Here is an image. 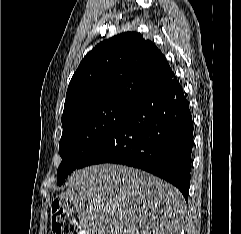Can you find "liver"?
<instances>
[{
    "label": "liver",
    "mask_w": 241,
    "mask_h": 234,
    "mask_svg": "<svg viewBox=\"0 0 241 234\" xmlns=\"http://www.w3.org/2000/svg\"><path fill=\"white\" fill-rule=\"evenodd\" d=\"M62 207L85 234H177L185 201L169 183L139 169L101 164L75 171Z\"/></svg>",
    "instance_id": "liver-1"
}]
</instances>
